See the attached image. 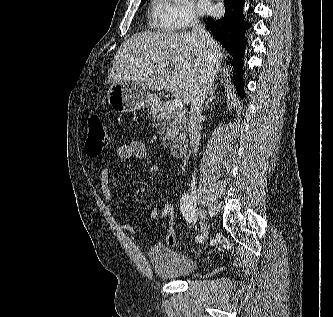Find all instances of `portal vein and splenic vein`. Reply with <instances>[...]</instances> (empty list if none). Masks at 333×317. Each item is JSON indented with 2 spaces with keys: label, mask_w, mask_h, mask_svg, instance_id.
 <instances>
[{
  "label": "portal vein and splenic vein",
  "mask_w": 333,
  "mask_h": 317,
  "mask_svg": "<svg viewBox=\"0 0 333 317\" xmlns=\"http://www.w3.org/2000/svg\"><path fill=\"white\" fill-rule=\"evenodd\" d=\"M164 66V64H163ZM170 108L174 111L176 110H181L183 108V101L181 99H174L171 103H170Z\"/></svg>",
  "instance_id": "portal-vein-and-splenic-vein-1"
}]
</instances>
